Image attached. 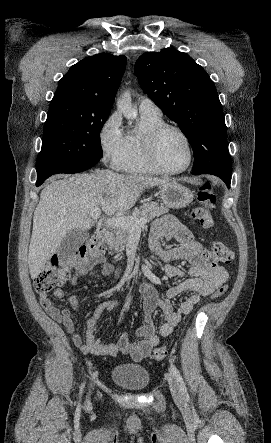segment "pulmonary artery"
Listing matches in <instances>:
<instances>
[{
    "label": "pulmonary artery",
    "instance_id": "e3ab8cb5",
    "mask_svg": "<svg viewBox=\"0 0 271 443\" xmlns=\"http://www.w3.org/2000/svg\"><path fill=\"white\" fill-rule=\"evenodd\" d=\"M138 103L141 114L161 115L159 107L150 98L141 97Z\"/></svg>",
    "mask_w": 271,
    "mask_h": 443
}]
</instances>
